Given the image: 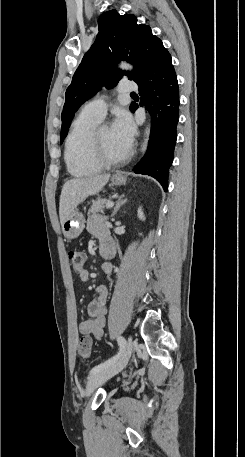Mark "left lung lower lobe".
Listing matches in <instances>:
<instances>
[{
    "label": "left lung lower lobe",
    "mask_w": 245,
    "mask_h": 457,
    "mask_svg": "<svg viewBox=\"0 0 245 457\" xmlns=\"http://www.w3.org/2000/svg\"><path fill=\"white\" fill-rule=\"evenodd\" d=\"M135 82L139 85L140 105H145L151 114V135L145 156L133 170L154 177L167 191L180 101L171 55L163 45L148 56ZM137 108L138 104L134 102L130 106L132 112Z\"/></svg>",
    "instance_id": "1"
}]
</instances>
